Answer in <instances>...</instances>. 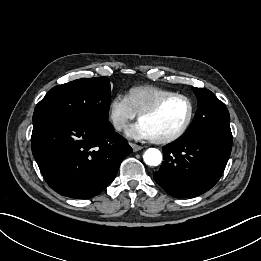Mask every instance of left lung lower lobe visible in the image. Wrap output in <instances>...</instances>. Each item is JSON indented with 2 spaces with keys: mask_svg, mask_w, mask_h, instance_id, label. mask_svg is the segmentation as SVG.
<instances>
[{
  "mask_svg": "<svg viewBox=\"0 0 261 261\" xmlns=\"http://www.w3.org/2000/svg\"><path fill=\"white\" fill-rule=\"evenodd\" d=\"M231 148V131L179 138L164 147V161L154 180L173 197L199 196L221 178Z\"/></svg>",
  "mask_w": 261,
  "mask_h": 261,
  "instance_id": "left-lung-lower-lobe-1",
  "label": "left lung lower lobe"
}]
</instances>
